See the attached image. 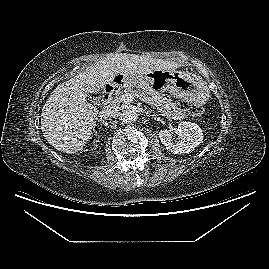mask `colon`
<instances>
[{
	"label": "colon",
	"mask_w": 269,
	"mask_h": 269,
	"mask_svg": "<svg viewBox=\"0 0 269 269\" xmlns=\"http://www.w3.org/2000/svg\"><path fill=\"white\" fill-rule=\"evenodd\" d=\"M191 112L193 115H201V114H203V109L199 108V107H193L191 109Z\"/></svg>",
	"instance_id": "5ec220e1"
}]
</instances>
